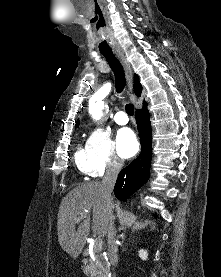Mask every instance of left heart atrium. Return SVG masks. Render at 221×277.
Segmentation results:
<instances>
[{
  "label": "left heart atrium",
  "instance_id": "left-heart-atrium-1",
  "mask_svg": "<svg viewBox=\"0 0 221 277\" xmlns=\"http://www.w3.org/2000/svg\"><path fill=\"white\" fill-rule=\"evenodd\" d=\"M116 144L119 154L123 158H129L135 155L139 149V143L136 135L131 129H121L116 138Z\"/></svg>",
  "mask_w": 221,
  "mask_h": 277
}]
</instances>
